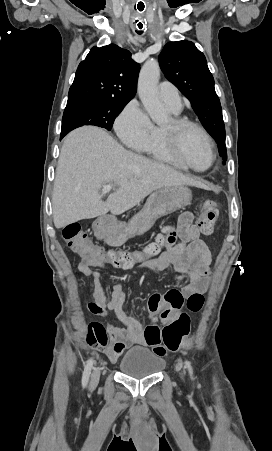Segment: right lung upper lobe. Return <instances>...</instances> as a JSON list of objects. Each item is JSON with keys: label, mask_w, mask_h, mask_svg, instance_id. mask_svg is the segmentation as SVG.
Segmentation results:
<instances>
[{"label": "right lung upper lobe", "mask_w": 272, "mask_h": 451, "mask_svg": "<svg viewBox=\"0 0 272 451\" xmlns=\"http://www.w3.org/2000/svg\"><path fill=\"white\" fill-rule=\"evenodd\" d=\"M139 64L131 53L111 44L93 47L76 71L68 102L81 99L129 102L137 89Z\"/></svg>", "instance_id": "right-lung-upper-lobe-1"}]
</instances>
